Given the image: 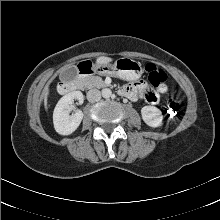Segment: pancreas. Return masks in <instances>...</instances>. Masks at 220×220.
Segmentation results:
<instances>
[{
    "label": "pancreas",
    "instance_id": "1",
    "mask_svg": "<svg viewBox=\"0 0 220 220\" xmlns=\"http://www.w3.org/2000/svg\"><path fill=\"white\" fill-rule=\"evenodd\" d=\"M83 86L87 89L91 88H103L106 86L103 79L99 76H87L81 79Z\"/></svg>",
    "mask_w": 220,
    "mask_h": 220
}]
</instances>
